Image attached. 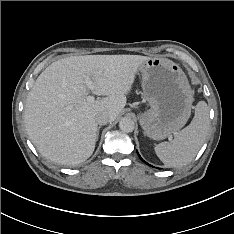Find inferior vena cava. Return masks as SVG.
<instances>
[{"instance_id":"inferior-vena-cava-1","label":"inferior vena cava","mask_w":234,"mask_h":234,"mask_svg":"<svg viewBox=\"0 0 234 234\" xmlns=\"http://www.w3.org/2000/svg\"><path fill=\"white\" fill-rule=\"evenodd\" d=\"M95 120H96L97 124L105 125L108 122H110V115L107 112H99L96 115Z\"/></svg>"}]
</instances>
